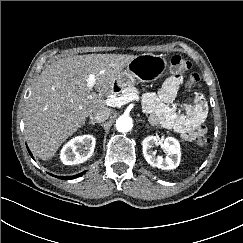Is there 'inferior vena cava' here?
<instances>
[{
    "label": "inferior vena cava",
    "instance_id": "602c4592",
    "mask_svg": "<svg viewBox=\"0 0 243 243\" xmlns=\"http://www.w3.org/2000/svg\"><path fill=\"white\" fill-rule=\"evenodd\" d=\"M110 113L107 108H100L93 110L89 113V118L91 119L92 122H104L105 120L108 119Z\"/></svg>",
    "mask_w": 243,
    "mask_h": 243
}]
</instances>
